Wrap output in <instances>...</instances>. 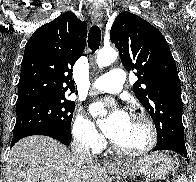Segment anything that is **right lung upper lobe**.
I'll use <instances>...</instances> for the list:
<instances>
[{"label": "right lung upper lobe", "instance_id": "right-lung-upper-lobe-1", "mask_svg": "<svg viewBox=\"0 0 196 182\" xmlns=\"http://www.w3.org/2000/svg\"><path fill=\"white\" fill-rule=\"evenodd\" d=\"M86 36V23L70 11L38 28L25 46L16 105L73 92L72 67Z\"/></svg>", "mask_w": 196, "mask_h": 182}]
</instances>
